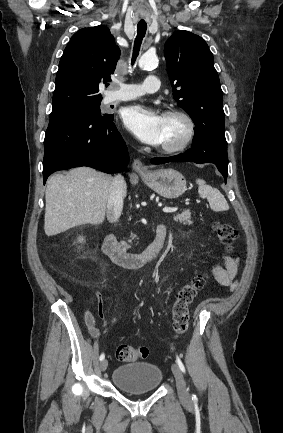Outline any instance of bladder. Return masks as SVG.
Listing matches in <instances>:
<instances>
[{"label": "bladder", "instance_id": "obj_1", "mask_svg": "<svg viewBox=\"0 0 283 433\" xmlns=\"http://www.w3.org/2000/svg\"><path fill=\"white\" fill-rule=\"evenodd\" d=\"M161 381L160 367L147 362L120 366L113 375V383L125 393L153 391L160 386Z\"/></svg>", "mask_w": 283, "mask_h": 433}]
</instances>
